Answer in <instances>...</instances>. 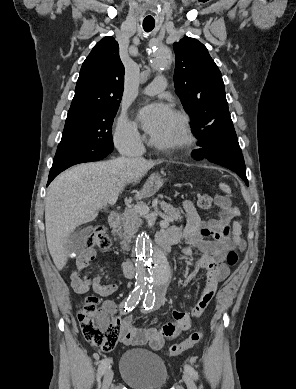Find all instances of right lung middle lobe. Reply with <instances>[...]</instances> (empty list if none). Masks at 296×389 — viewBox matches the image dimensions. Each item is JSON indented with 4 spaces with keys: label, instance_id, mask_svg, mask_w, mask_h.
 <instances>
[{
    "label": "right lung middle lobe",
    "instance_id": "dd1d6c3e",
    "mask_svg": "<svg viewBox=\"0 0 296 389\" xmlns=\"http://www.w3.org/2000/svg\"><path fill=\"white\" fill-rule=\"evenodd\" d=\"M119 106L97 108L86 115L66 120L52 168L98 161L113 150L112 123Z\"/></svg>",
    "mask_w": 296,
    "mask_h": 389
}]
</instances>
